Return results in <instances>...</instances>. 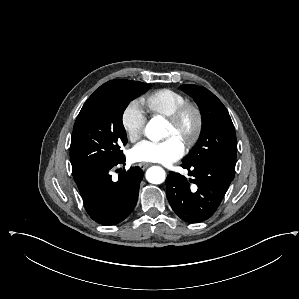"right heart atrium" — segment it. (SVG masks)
Instances as JSON below:
<instances>
[{
	"mask_svg": "<svg viewBox=\"0 0 299 299\" xmlns=\"http://www.w3.org/2000/svg\"><path fill=\"white\" fill-rule=\"evenodd\" d=\"M146 115L142 103L135 99L130 101L121 115V124L127 138L137 140L143 133Z\"/></svg>",
	"mask_w": 299,
	"mask_h": 299,
	"instance_id": "d8ad5b80",
	"label": "right heart atrium"
}]
</instances>
